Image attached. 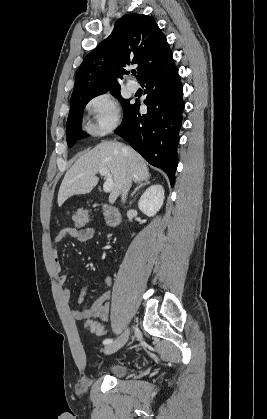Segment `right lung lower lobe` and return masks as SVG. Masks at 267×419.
<instances>
[{
  "label": "right lung lower lobe",
  "instance_id": "right-lung-lower-lobe-1",
  "mask_svg": "<svg viewBox=\"0 0 267 419\" xmlns=\"http://www.w3.org/2000/svg\"><path fill=\"white\" fill-rule=\"evenodd\" d=\"M145 84L147 114H140L139 101L124 113L115 133L123 137L144 159L167 173L171 186L175 183L178 164L177 146L182 124L183 86L174 62L147 74Z\"/></svg>",
  "mask_w": 267,
  "mask_h": 419
}]
</instances>
